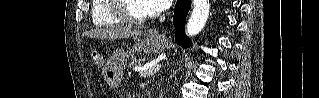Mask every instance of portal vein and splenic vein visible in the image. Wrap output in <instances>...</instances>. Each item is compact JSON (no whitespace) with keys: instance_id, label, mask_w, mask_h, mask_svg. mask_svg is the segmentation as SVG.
<instances>
[{"instance_id":"portal-vein-and-splenic-vein-1","label":"portal vein and splenic vein","mask_w":319,"mask_h":98,"mask_svg":"<svg viewBox=\"0 0 319 98\" xmlns=\"http://www.w3.org/2000/svg\"><path fill=\"white\" fill-rule=\"evenodd\" d=\"M161 68L160 64H155L153 66H144L137 68L138 71H140L141 76L143 77H150L154 75L156 72H158Z\"/></svg>"}]
</instances>
